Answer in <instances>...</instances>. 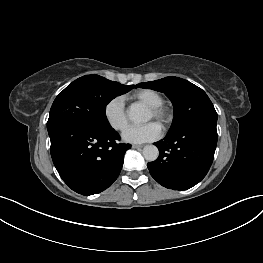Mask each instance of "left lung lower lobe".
<instances>
[{
    "mask_svg": "<svg viewBox=\"0 0 263 263\" xmlns=\"http://www.w3.org/2000/svg\"><path fill=\"white\" fill-rule=\"evenodd\" d=\"M217 144L216 123H201L167 133L155 145L159 157L147 164L152 177L162 186L186 190L207 174Z\"/></svg>",
    "mask_w": 263,
    "mask_h": 263,
    "instance_id": "1",
    "label": "left lung lower lobe"
}]
</instances>
